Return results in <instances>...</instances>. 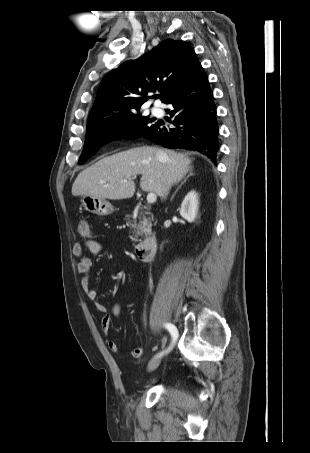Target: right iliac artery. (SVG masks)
Segmentation results:
<instances>
[{
	"label": "right iliac artery",
	"instance_id": "obj_1",
	"mask_svg": "<svg viewBox=\"0 0 310 453\" xmlns=\"http://www.w3.org/2000/svg\"><path fill=\"white\" fill-rule=\"evenodd\" d=\"M165 327L168 329V331L171 333L172 338H173V343L176 341L177 336H178V331L177 328L173 324H165ZM171 349L170 348L166 351V353Z\"/></svg>",
	"mask_w": 310,
	"mask_h": 453
}]
</instances>
